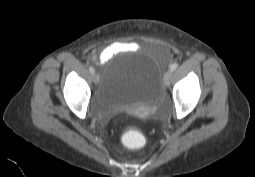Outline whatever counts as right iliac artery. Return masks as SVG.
Returning a JSON list of instances; mask_svg holds the SVG:
<instances>
[{
    "label": "right iliac artery",
    "mask_w": 255,
    "mask_h": 177,
    "mask_svg": "<svg viewBox=\"0 0 255 177\" xmlns=\"http://www.w3.org/2000/svg\"><path fill=\"white\" fill-rule=\"evenodd\" d=\"M89 71H90L91 74H94V72H95V70L92 66L89 67Z\"/></svg>",
    "instance_id": "right-iliac-artery-1"
}]
</instances>
